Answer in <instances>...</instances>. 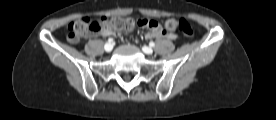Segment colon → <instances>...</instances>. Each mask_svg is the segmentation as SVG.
I'll return each instance as SVG.
<instances>
[{"label":"colon","mask_w":276,"mask_h":120,"mask_svg":"<svg viewBox=\"0 0 276 120\" xmlns=\"http://www.w3.org/2000/svg\"><path fill=\"white\" fill-rule=\"evenodd\" d=\"M140 26L150 27L152 25L150 20H140ZM135 21L132 18L116 17L108 19L101 17L95 21L89 18H81L72 22L68 26L67 39L71 43H77L83 36L87 34L117 31H130L134 28ZM164 29L168 33L179 30L185 37L191 38L195 35V25L187 19H168L164 22Z\"/></svg>","instance_id":"5ec220e1"}]
</instances>
